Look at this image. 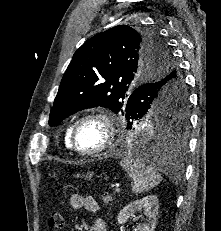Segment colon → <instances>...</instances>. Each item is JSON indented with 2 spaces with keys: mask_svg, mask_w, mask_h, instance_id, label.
I'll return each instance as SVG.
<instances>
[{
  "mask_svg": "<svg viewBox=\"0 0 221 231\" xmlns=\"http://www.w3.org/2000/svg\"><path fill=\"white\" fill-rule=\"evenodd\" d=\"M49 226L54 229H60L64 226V215L60 211H54L49 219Z\"/></svg>",
  "mask_w": 221,
  "mask_h": 231,
  "instance_id": "1",
  "label": "colon"
}]
</instances>
